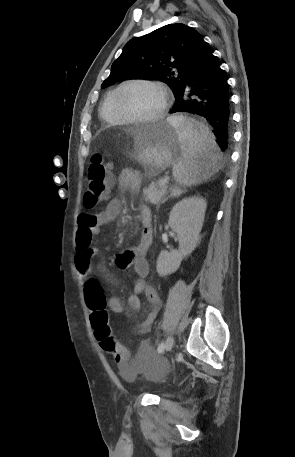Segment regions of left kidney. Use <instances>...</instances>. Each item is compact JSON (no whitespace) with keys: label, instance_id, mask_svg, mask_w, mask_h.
I'll return each mask as SVG.
<instances>
[{"label":"left kidney","instance_id":"left-kidney-1","mask_svg":"<svg viewBox=\"0 0 295 457\" xmlns=\"http://www.w3.org/2000/svg\"><path fill=\"white\" fill-rule=\"evenodd\" d=\"M207 203L201 197H188L179 201L171 210L168 224L177 234L179 249L161 251L157 260V272L161 277L178 270L181 261L198 245Z\"/></svg>","mask_w":295,"mask_h":457}]
</instances>
